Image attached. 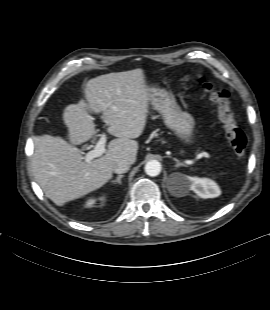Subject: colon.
<instances>
[{
  "instance_id": "5ec220e1",
  "label": "colon",
  "mask_w": 270,
  "mask_h": 310,
  "mask_svg": "<svg viewBox=\"0 0 270 310\" xmlns=\"http://www.w3.org/2000/svg\"><path fill=\"white\" fill-rule=\"evenodd\" d=\"M184 79L188 81L191 78L190 76H185ZM199 82L209 93L210 99L217 107L218 118L223 126L225 136L233 151L237 156L243 157L246 153L248 138L245 132L236 124L229 105L228 90L224 88H217L202 78L199 79Z\"/></svg>"
}]
</instances>
